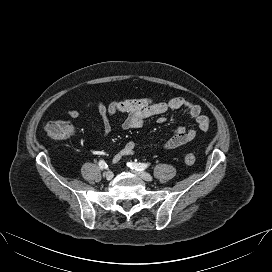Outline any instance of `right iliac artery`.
<instances>
[{"label": "right iliac artery", "mask_w": 272, "mask_h": 272, "mask_svg": "<svg viewBox=\"0 0 272 272\" xmlns=\"http://www.w3.org/2000/svg\"><path fill=\"white\" fill-rule=\"evenodd\" d=\"M99 167L101 170L105 169L107 167V164L105 163L104 160L99 161Z\"/></svg>", "instance_id": "1"}]
</instances>
